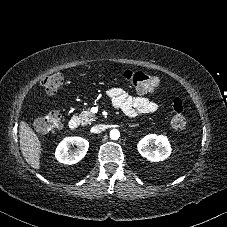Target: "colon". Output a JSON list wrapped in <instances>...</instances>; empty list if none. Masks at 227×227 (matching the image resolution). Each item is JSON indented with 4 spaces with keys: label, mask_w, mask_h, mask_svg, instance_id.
<instances>
[{
    "label": "colon",
    "mask_w": 227,
    "mask_h": 227,
    "mask_svg": "<svg viewBox=\"0 0 227 227\" xmlns=\"http://www.w3.org/2000/svg\"><path fill=\"white\" fill-rule=\"evenodd\" d=\"M120 76L127 81L139 93H152L160 85L158 77L151 74L134 71L131 69H118ZM62 74L59 72L53 73L42 80V86L48 93H55L62 83ZM173 117L171 126L178 131L184 130L187 127L188 119L184 113L183 103L178 97H174L171 101ZM34 128L40 133H50L59 129L61 125V115L58 111H50L45 116L34 121Z\"/></svg>",
    "instance_id": "1"
}]
</instances>
